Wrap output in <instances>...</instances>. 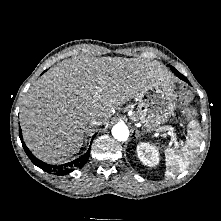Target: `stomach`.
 Returning a JSON list of instances; mask_svg holds the SVG:
<instances>
[{"label": "stomach", "instance_id": "stomach-1", "mask_svg": "<svg viewBox=\"0 0 221 221\" xmlns=\"http://www.w3.org/2000/svg\"><path fill=\"white\" fill-rule=\"evenodd\" d=\"M176 97L174 86L168 80L151 82L137 95V120L148 132L157 130L174 113Z\"/></svg>", "mask_w": 221, "mask_h": 221}]
</instances>
